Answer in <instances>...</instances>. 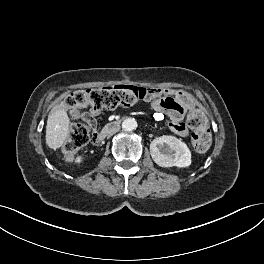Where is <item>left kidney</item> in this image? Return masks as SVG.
<instances>
[{
	"instance_id": "5707ae66",
	"label": "left kidney",
	"mask_w": 264,
	"mask_h": 264,
	"mask_svg": "<svg viewBox=\"0 0 264 264\" xmlns=\"http://www.w3.org/2000/svg\"><path fill=\"white\" fill-rule=\"evenodd\" d=\"M152 159L161 167L185 168L191 165V151L180 139L163 135L150 144Z\"/></svg>"
}]
</instances>
